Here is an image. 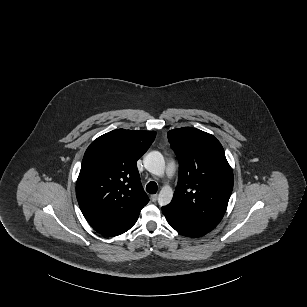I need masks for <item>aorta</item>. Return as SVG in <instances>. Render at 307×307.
Returning <instances> with one entry per match:
<instances>
[{"instance_id":"aorta-1","label":"aorta","mask_w":307,"mask_h":307,"mask_svg":"<svg viewBox=\"0 0 307 307\" xmlns=\"http://www.w3.org/2000/svg\"><path fill=\"white\" fill-rule=\"evenodd\" d=\"M144 167L147 171L153 174H162L165 167L164 157L160 151H150L143 159ZM173 198V193L170 187L163 188L158 197L159 206H167Z\"/></svg>"}]
</instances>
